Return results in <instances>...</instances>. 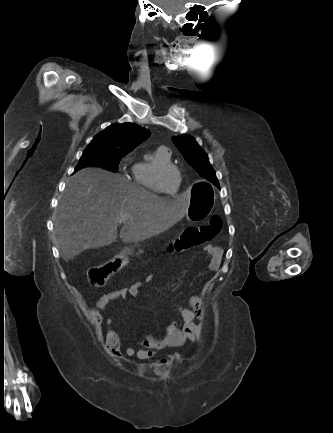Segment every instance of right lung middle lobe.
Segmentation results:
<instances>
[{
	"instance_id": "obj_1",
	"label": "right lung middle lobe",
	"mask_w": 333,
	"mask_h": 433,
	"mask_svg": "<svg viewBox=\"0 0 333 433\" xmlns=\"http://www.w3.org/2000/svg\"><path fill=\"white\" fill-rule=\"evenodd\" d=\"M126 154L128 152H122L113 148L87 146L75 171L87 166H98L116 172L121 158Z\"/></svg>"
}]
</instances>
